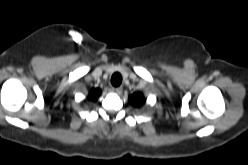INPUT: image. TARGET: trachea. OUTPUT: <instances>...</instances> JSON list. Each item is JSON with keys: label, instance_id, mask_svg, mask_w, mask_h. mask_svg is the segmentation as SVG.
I'll return each instance as SVG.
<instances>
[{"label": "trachea", "instance_id": "1", "mask_svg": "<svg viewBox=\"0 0 248 165\" xmlns=\"http://www.w3.org/2000/svg\"><path fill=\"white\" fill-rule=\"evenodd\" d=\"M111 83L113 86L118 87L122 83V76L120 73L116 72L111 77Z\"/></svg>", "mask_w": 248, "mask_h": 165}]
</instances>
